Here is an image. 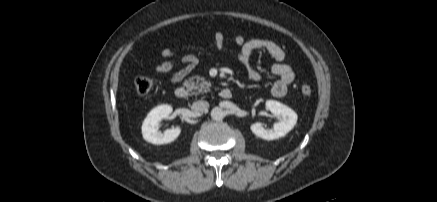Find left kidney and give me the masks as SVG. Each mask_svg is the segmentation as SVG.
<instances>
[{"label":"left kidney","mask_w":437,"mask_h":202,"mask_svg":"<svg viewBox=\"0 0 437 202\" xmlns=\"http://www.w3.org/2000/svg\"><path fill=\"white\" fill-rule=\"evenodd\" d=\"M266 108L279 118V122L275 123L273 129H265L261 123L251 125V131L257 136L265 140H274L285 136L291 131L297 123V114L286 105L277 101L269 100L266 102Z\"/></svg>","instance_id":"obj_1"}]
</instances>
